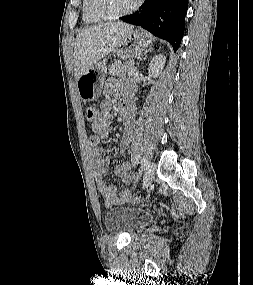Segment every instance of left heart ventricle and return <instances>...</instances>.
<instances>
[{"mask_svg": "<svg viewBox=\"0 0 253 285\" xmlns=\"http://www.w3.org/2000/svg\"><path fill=\"white\" fill-rule=\"evenodd\" d=\"M96 6L104 14H115L130 8L136 0H96Z\"/></svg>", "mask_w": 253, "mask_h": 285, "instance_id": "b2bd125f", "label": "left heart ventricle"}]
</instances>
